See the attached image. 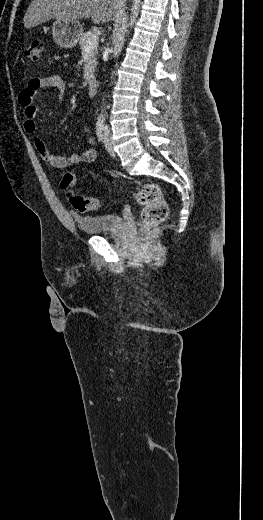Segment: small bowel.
<instances>
[{
	"instance_id": "obj_1",
	"label": "small bowel",
	"mask_w": 263,
	"mask_h": 520,
	"mask_svg": "<svg viewBox=\"0 0 263 520\" xmlns=\"http://www.w3.org/2000/svg\"><path fill=\"white\" fill-rule=\"evenodd\" d=\"M44 88H51L55 90L58 95H62L65 92V82L59 75H51L45 78H33L28 81L27 85L22 89L19 94V103L23 107L24 111V130L28 134L34 135L37 131L36 115L38 113V107L34 105L33 100L37 92ZM87 138L91 144L94 143V139L91 136L87 128L84 129ZM35 147L40 157L52 167L55 168H66L81 163H92L95 161L97 153L94 147H89L82 153H74L70 156H63L53 153L46 143L39 137H34Z\"/></svg>"
}]
</instances>
